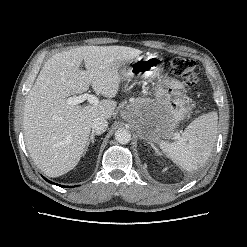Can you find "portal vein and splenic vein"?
I'll use <instances>...</instances> for the list:
<instances>
[{
  "label": "portal vein and splenic vein",
  "mask_w": 247,
  "mask_h": 247,
  "mask_svg": "<svg viewBox=\"0 0 247 247\" xmlns=\"http://www.w3.org/2000/svg\"><path fill=\"white\" fill-rule=\"evenodd\" d=\"M85 100H87L92 105H96L99 102V99L96 96L86 93L80 96L69 97L67 98L66 102L69 105H77L84 102Z\"/></svg>",
  "instance_id": "18ae733b"
}]
</instances>
